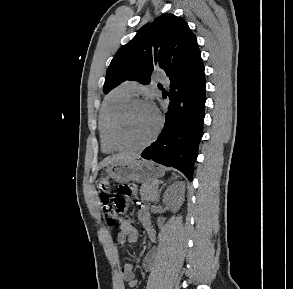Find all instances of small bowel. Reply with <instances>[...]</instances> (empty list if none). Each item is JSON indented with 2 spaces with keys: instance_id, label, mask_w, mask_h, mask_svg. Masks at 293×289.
Masks as SVG:
<instances>
[{
  "instance_id": "c3829d8e",
  "label": "small bowel",
  "mask_w": 293,
  "mask_h": 289,
  "mask_svg": "<svg viewBox=\"0 0 293 289\" xmlns=\"http://www.w3.org/2000/svg\"><path fill=\"white\" fill-rule=\"evenodd\" d=\"M138 217L146 231V234L150 241L154 242L156 240V232L151 227L150 224V210L147 206L142 205L138 211ZM120 227L117 233V241L121 246L126 243H134L138 239V231L136 228L126 219L120 218ZM156 248H151L143 261V267L145 270L149 271L153 268L154 261L156 258ZM121 278L126 282L130 288H136L138 281L134 274V268L131 263H126L121 269Z\"/></svg>"
}]
</instances>
